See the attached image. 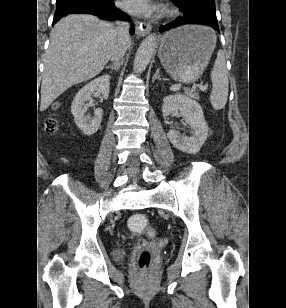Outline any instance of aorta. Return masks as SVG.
Instances as JSON below:
<instances>
[{"mask_svg":"<svg viewBox=\"0 0 286 308\" xmlns=\"http://www.w3.org/2000/svg\"><path fill=\"white\" fill-rule=\"evenodd\" d=\"M156 48V35H148L140 44L134 59V71L143 72L148 66Z\"/></svg>","mask_w":286,"mask_h":308,"instance_id":"762f6f07","label":"aorta"}]
</instances>
